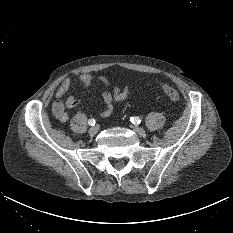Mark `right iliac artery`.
<instances>
[{
	"label": "right iliac artery",
	"instance_id": "1",
	"mask_svg": "<svg viewBox=\"0 0 233 233\" xmlns=\"http://www.w3.org/2000/svg\"><path fill=\"white\" fill-rule=\"evenodd\" d=\"M88 124L91 125V126L95 125V120L94 119H90L88 121Z\"/></svg>",
	"mask_w": 233,
	"mask_h": 233
}]
</instances>
